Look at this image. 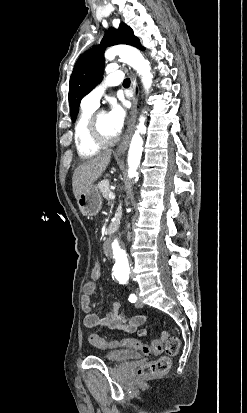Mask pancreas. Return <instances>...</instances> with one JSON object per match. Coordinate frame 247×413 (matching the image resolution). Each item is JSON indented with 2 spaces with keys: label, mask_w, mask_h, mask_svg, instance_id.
Instances as JSON below:
<instances>
[{
  "label": "pancreas",
  "mask_w": 247,
  "mask_h": 413,
  "mask_svg": "<svg viewBox=\"0 0 247 413\" xmlns=\"http://www.w3.org/2000/svg\"><path fill=\"white\" fill-rule=\"evenodd\" d=\"M102 196H104V198H107V200H110L108 194L109 192H111L109 186V180H107V178H104V180H101V182H98L97 184ZM115 227H116V223H114Z\"/></svg>",
  "instance_id": "cf45deb5"
}]
</instances>
